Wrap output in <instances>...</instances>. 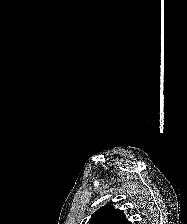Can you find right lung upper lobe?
I'll return each instance as SVG.
<instances>
[{
    "instance_id": "obj_1",
    "label": "right lung upper lobe",
    "mask_w": 187,
    "mask_h": 224,
    "mask_svg": "<svg viewBox=\"0 0 187 224\" xmlns=\"http://www.w3.org/2000/svg\"><path fill=\"white\" fill-rule=\"evenodd\" d=\"M91 218V224H131L126 220L123 211L116 210L112 205L101 207Z\"/></svg>"
}]
</instances>
